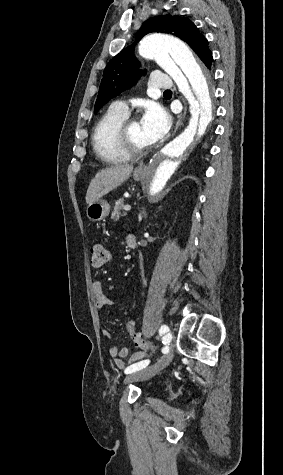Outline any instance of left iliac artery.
Wrapping results in <instances>:
<instances>
[{"label": "left iliac artery", "mask_w": 283, "mask_h": 475, "mask_svg": "<svg viewBox=\"0 0 283 475\" xmlns=\"http://www.w3.org/2000/svg\"><path fill=\"white\" fill-rule=\"evenodd\" d=\"M168 331H169V328H168L166 325H162V326L160 327V329H159L160 335H163V334H165V333L168 332ZM165 340H166L167 342H170V341H168L166 338H165ZM149 362H150L149 360H144V361H140V362H138V363H135V364H133V365L127 367V368L125 369V373H126V374H131V373H133V372L139 371V370L145 368L146 366H148Z\"/></svg>", "instance_id": "1"}]
</instances>
